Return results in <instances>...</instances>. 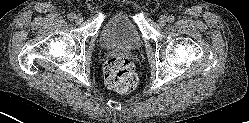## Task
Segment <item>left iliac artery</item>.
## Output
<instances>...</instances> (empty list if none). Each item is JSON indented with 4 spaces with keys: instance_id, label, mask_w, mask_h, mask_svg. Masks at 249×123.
<instances>
[{
    "instance_id": "obj_1",
    "label": "left iliac artery",
    "mask_w": 249,
    "mask_h": 123,
    "mask_svg": "<svg viewBox=\"0 0 249 123\" xmlns=\"http://www.w3.org/2000/svg\"><path fill=\"white\" fill-rule=\"evenodd\" d=\"M168 22L169 23H173L174 22V17L172 15L168 16Z\"/></svg>"
}]
</instances>
